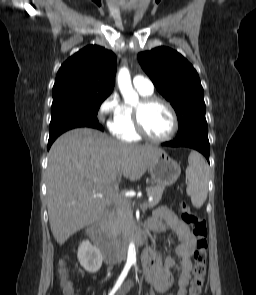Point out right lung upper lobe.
<instances>
[{"label":"right lung upper lobe","mask_w":256,"mask_h":295,"mask_svg":"<svg viewBox=\"0 0 256 295\" xmlns=\"http://www.w3.org/2000/svg\"><path fill=\"white\" fill-rule=\"evenodd\" d=\"M116 56L112 51L89 45L60 67L53 86V102L108 97L115 84Z\"/></svg>","instance_id":"1"}]
</instances>
